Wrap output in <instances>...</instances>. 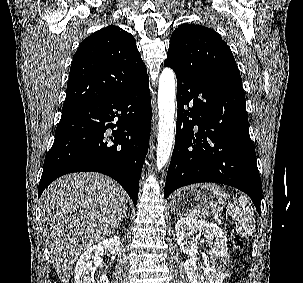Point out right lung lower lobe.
Masks as SVG:
<instances>
[{
  "instance_id": "98d812e1",
  "label": "right lung lower lobe",
  "mask_w": 303,
  "mask_h": 283,
  "mask_svg": "<svg viewBox=\"0 0 303 283\" xmlns=\"http://www.w3.org/2000/svg\"><path fill=\"white\" fill-rule=\"evenodd\" d=\"M150 128L149 80L127 92L62 113L53 146L45 157L38 197L62 175L92 171L115 179L136 205Z\"/></svg>"
}]
</instances>
